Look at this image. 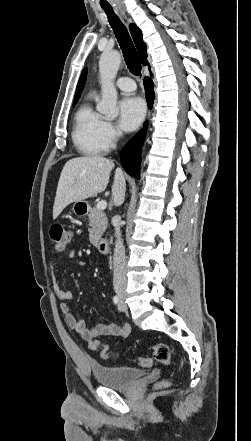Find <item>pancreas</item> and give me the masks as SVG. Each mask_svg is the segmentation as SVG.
Instances as JSON below:
<instances>
[{
  "label": "pancreas",
  "mask_w": 251,
  "mask_h": 441,
  "mask_svg": "<svg viewBox=\"0 0 251 441\" xmlns=\"http://www.w3.org/2000/svg\"><path fill=\"white\" fill-rule=\"evenodd\" d=\"M88 218L90 220L89 240L96 244L107 228L108 220L105 213L96 207H89Z\"/></svg>",
  "instance_id": "cf45deb5"
}]
</instances>
